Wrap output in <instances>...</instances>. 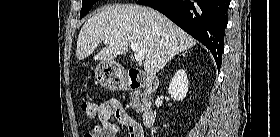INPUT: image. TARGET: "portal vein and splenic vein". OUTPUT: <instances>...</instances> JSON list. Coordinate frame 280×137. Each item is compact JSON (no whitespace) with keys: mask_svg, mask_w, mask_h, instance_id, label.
<instances>
[{"mask_svg":"<svg viewBox=\"0 0 280 137\" xmlns=\"http://www.w3.org/2000/svg\"><path fill=\"white\" fill-rule=\"evenodd\" d=\"M130 47H131L132 51L134 52L135 60L137 62L141 63L145 58V54H144L143 50L140 49L139 45L135 42H131Z\"/></svg>","mask_w":280,"mask_h":137,"instance_id":"1","label":"portal vein and splenic vein"}]
</instances>
